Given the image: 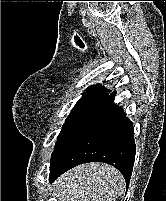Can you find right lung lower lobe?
Returning a JSON list of instances; mask_svg holds the SVG:
<instances>
[{"instance_id": "right-lung-lower-lobe-1", "label": "right lung lower lobe", "mask_w": 166, "mask_h": 201, "mask_svg": "<svg viewBox=\"0 0 166 201\" xmlns=\"http://www.w3.org/2000/svg\"><path fill=\"white\" fill-rule=\"evenodd\" d=\"M114 97L115 91L51 159L50 182L79 164L104 162L130 183L136 154L134 129L123 109L114 104Z\"/></svg>"}]
</instances>
